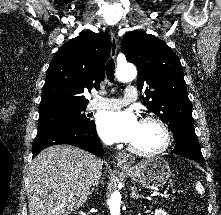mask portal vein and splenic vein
I'll use <instances>...</instances> for the list:
<instances>
[{
  "label": "portal vein and splenic vein",
  "instance_id": "1",
  "mask_svg": "<svg viewBox=\"0 0 221 215\" xmlns=\"http://www.w3.org/2000/svg\"><path fill=\"white\" fill-rule=\"evenodd\" d=\"M157 195H160L162 197H167L168 195L165 193V194H152V196H157Z\"/></svg>",
  "mask_w": 221,
  "mask_h": 215
}]
</instances>
